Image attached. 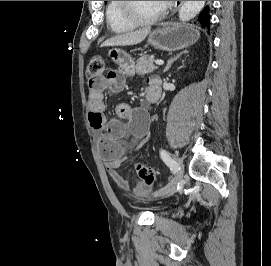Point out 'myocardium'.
Listing matches in <instances>:
<instances>
[{"instance_id": "myocardium-1", "label": "myocardium", "mask_w": 271, "mask_h": 266, "mask_svg": "<svg viewBox=\"0 0 271 266\" xmlns=\"http://www.w3.org/2000/svg\"><path fill=\"white\" fill-rule=\"evenodd\" d=\"M120 12L123 18L132 23L135 26H144L151 25L158 22L165 14V7L162 6V9L154 16L150 18H141L139 17L132 9V1H119Z\"/></svg>"}]
</instances>
